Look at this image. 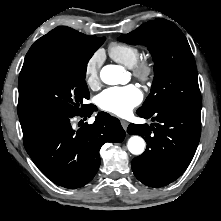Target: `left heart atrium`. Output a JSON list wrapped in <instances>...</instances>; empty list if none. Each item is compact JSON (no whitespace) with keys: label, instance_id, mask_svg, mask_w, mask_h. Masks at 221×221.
I'll use <instances>...</instances> for the list:
<instances>
[{"label":"left heart atrium","instance_id":"obj_1","mask_svg":"<svg viewBox=\"0 0 221 221\" xmlns=\"http://www.w3.org/2000/svg\"><path fill=\"white\" fill-rule=\"evenodd\" d=\"M143 99L141 90L134 84L105 89L97 96L98 106L117 116L128 115Z\"/></svg>","mask_w":221,"mask_h":221}]
</instances>
